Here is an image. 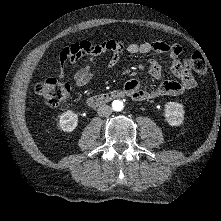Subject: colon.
Masks as SVG:
<instances>
[{"label":"colon","mask_w":221,"mask_h":221,"mask_svg":"<svg viewBox=\"0 0 221 221\" xmlns=\"http://www.w3.org/2000/svg\"><path fill=\"white\" fill-rule=\"evenodd\" d=\"M79 50L76 46L64 49L61 53V60L75 61L79 58ZM188 65L198 75H205L207 73V64L204 57L200 53H194L188 59ZM71 85L61 82L56 78H48L36 86V93L38 97L47 105L58 107L66 103L71 94Z\"/></svg>","instance_id":"obj_1"}]
</instances>
